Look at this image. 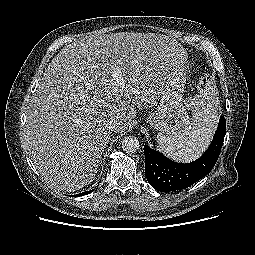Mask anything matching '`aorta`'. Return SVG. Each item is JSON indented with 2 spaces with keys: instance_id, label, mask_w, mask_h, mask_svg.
Returning a JSON list of instances; mask_svg holds the SVG:
<instances>
[{
  "instance_id": "1",
  "label": "aorta",
  "mask_w": 255,
  "mask_h": 255,
  "mask_svg": "<svg viewBox=\"0 0 255 255\" xmlns=\"http://www.w3.org/2000/svg\"><path fill=\"white\" fill-rule=\"evenodd\" d=\"M122 149L127 153H134L139 149V141L134 136H127L122 141Z\"/></svg>"
}]
</instances>
